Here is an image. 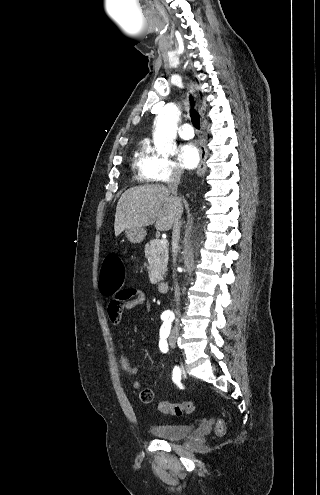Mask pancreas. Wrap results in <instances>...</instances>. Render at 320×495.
<instances>
[{"instance_id": "obj_1", "label": "pancreas", "mask_w": 320, "mask_h": 495, "mask_svg": "<svg viewBox=\"0 0 320 495\" xmlns=\"http://www.w3.org/2000/svg\"><path fill=\"white\" fill-rule=\"evenodd\" d=\"M160 241V239H154L145 245V256L149 263L148 270L152 283L160 282L167 271L168 244L161 245Z\"/></svg>"}]
</instances>
